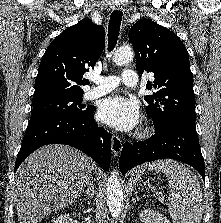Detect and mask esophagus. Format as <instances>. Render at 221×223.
Segmentation results:
<instances>
[{
  "label": "esophagus",
  "instance_id": "obj_1",
  "mask_svg": "<svg viewBox=\"0 0 221 223\" xmlns=\"http://www.w3.org/2000/svg\"><path fill=\"white\" fill-rule=\"evenodd\" d=\"M113 9L124 11V4L122 2L115 3L113 5ZM122 146H123L122 140L117 135H113L111 138V150L115 157L120 154V152L122 150Z\"/></svg>",
  "mask_w": 221,
  "mask_h": 223
}]
</instances>
